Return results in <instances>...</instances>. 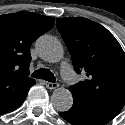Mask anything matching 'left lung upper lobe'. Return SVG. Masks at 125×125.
<instances>
[{"instance_id": "obj_1", "label": "left lung upper lobe", "mask_w": 125, "mask_h": 125, "mask_svg": "<svg viewBox=\"0 0 125 125\" xmlns=\"http://www.w3.org/2000/svg\"><path fill=\"white\" fill-rule=\"evenodd\" d=\"M57 28L77 73L87 80L69 88L74 101L125 105V53L102 25L86 18H57Z\"/></svg>"}]
</instances>
